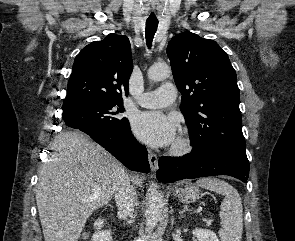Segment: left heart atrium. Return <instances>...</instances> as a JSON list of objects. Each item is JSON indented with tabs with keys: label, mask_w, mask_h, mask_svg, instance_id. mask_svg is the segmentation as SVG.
<instances>
[{
	"label": "left heart atrium",
	"mask_w": 295,
	"mask_h": 241,
	"mask_svg": "<svg viewBox=\"0 0 295 241\" xmlns=\"http://www.w3.org/2000/svg\"><path fill=\"white\" fill-rule=\"evenodd\" d=\"M132 127L136 136L152 147H165L174 143L177 137L178 123L158 111L137 114Z\"/></svg>",
	"instance_id": "left-heart-atrium-1"
}]
</instances>
